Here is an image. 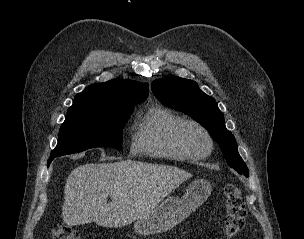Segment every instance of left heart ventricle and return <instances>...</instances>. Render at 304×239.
<instances>
[{
  "instance_id": "left-heart-ventricle-1",
  "label": "left heart ventricle",
  "mask_w": 304,
  "mask_h": 239,
  "mask_svg": "<svg viewBox=\"0 0 304 239\" xmlns=\"http://www.w3.org/2000/svg\"><path fill=\"white\" fill-rule=\"evenodd\" d=\"M185 145L194 152H203L208 148L206 136L198 128L189 126L182 133Z\"/></svg>"
}]
</instances>
